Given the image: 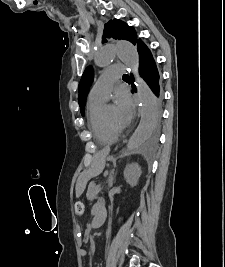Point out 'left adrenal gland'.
<instances>
[{"mask_svg":"<svg viewBox=\"0 0 225 267\" xmlns=\"http://www.w3.org/2000/svg\"><path fill=\"white\" fill-rule=\"evenodd\" d=\"M113 181H114V171H112L109 176V187L113 186Z\"/></svg>","mask_w":225,"mask_h":267,"instance_id":"left-adrenal-gland-1","label":"left adrenal gland"}]
</instances>
